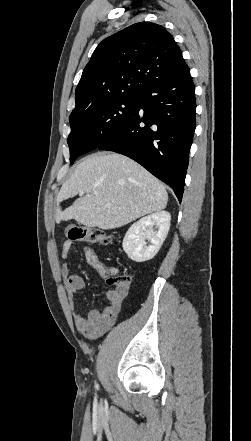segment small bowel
Here are the masks:
<instances>
[{
    "mask_svg": "<svg viewBox=\"0 0 251 441\" xmlns=\"http://www.w3.org/2000/svg\"><path fill=\"white\" fill-rule=\"evenodd\" d=\"M71 246L72 244L70 241L63 243L61 247L62 258H68ZM84 254L87 262L103 277L106 268L99 260L94 249L91 247H85ZM62 274L66 279V289L70 297L71 308L77 330L88 339H95L106 333L117 320L123 300L127 296L128 287L115 286L114 288L106 290V306L102 310L93 309L87 314H84L76 307L74 296L85 288V281L81 276L73 273L69 264H64L62 266Z\"/></svg>",
    "mask_w": 251,
    "mask_h": 441,
    "instance_id": "small-bowel-1",
    "label": "small bowel"
}]
</instances>
